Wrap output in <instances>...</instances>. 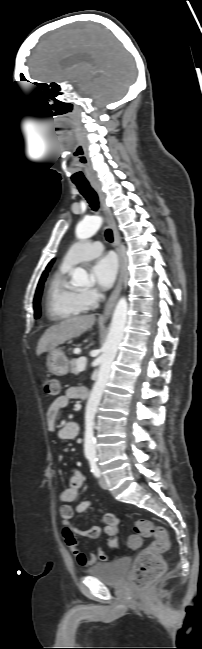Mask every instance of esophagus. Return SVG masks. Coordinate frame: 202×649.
Returning <instances> with one entry per match:
<instances>
[{"mask_svg": "<svg viewBox=\"0 0 202 649\" xmlns=\"http://www.w3.org/2000/svg\"><path fill=\"white\" fill-rule=\"evenodd\" d=\"M90 184L98 194L102 210H103L104 214L106 215V217L108 219V223H109V225H110V227L112 229L113 237H114V245H115V249H116V252H117L118 258H119V277H118V281H117L115 289L113 290L110 298L108 299V301H107V303L105 305L104 312H103V316L108 317V316L111 315V313H112V311L114 309V306L116 304V301L118 299V296H119L121 288H122V281H123V276H124V262H123V256H122V251H121V246H120V236H119L118 230L116 228V224H115V221H114V218H113V215H112L111 208L109 207V205L106 202L105 194H104L101 186L99 185V183H97L96 181H91Z\"/></svg>", "mask_w": 202, "mask_h": 649, "instance_id": "1", "label": "esophagus"}]
</instances>
